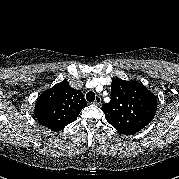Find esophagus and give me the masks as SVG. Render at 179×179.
<instances>
[{"instance_id":"34e87169","label":"esophagus","mask_w":179,"mask_h":179,"mask_svg":"<svg viewBox=\"0 0 179 179\" xmlns=\"http://www.w3.org/2000/svg\"><path fill=\"white\" fill-rule=\"evenodd\" d=\"M101 102H102V99H101V97L98 96V97H96V99H95V101H94V104L100 105Z\"/></svg>"}]
</instances>
